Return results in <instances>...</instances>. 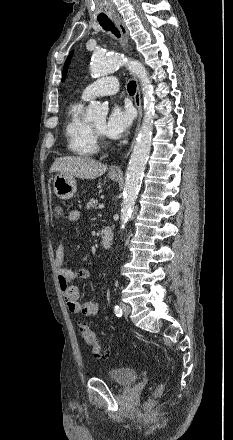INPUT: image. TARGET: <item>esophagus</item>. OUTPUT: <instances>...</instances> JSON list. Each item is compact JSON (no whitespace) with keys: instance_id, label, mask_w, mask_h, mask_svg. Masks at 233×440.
<instances>
[{"instance_id":"obj_1","label":"esophagus","mask_w":233,"mask_h":440,"mask_svg":"<svg viewBox=\"0 0 233 440\" xmlns=\"http://www.w3.org/2000/svg\"><path fill=\"white\" fill-rule=\"evenodd\" d=\"M113 20H114L115 25L117 26L118 30L120 31V34L122 37L123 49L126 53H129L130 45H129V34H128L127 27H126L125 23L123 22V20L121 19V17L116 16V17H114ZM134 102H135V105L138 109V123H137L136 134H135V137H136L137 132L140 127L141 118H142L141 92H140V86H139L138 82H137V89H136V93H135ZM134 140H135V138H134ZM133 144H134V141L132 143L131 148L124 156V160L127 159V157L129 156L130 151L133 147ZM110 171L112 173L122 174L121 165L113 166Z\"/></svg>"}]
</instances>
